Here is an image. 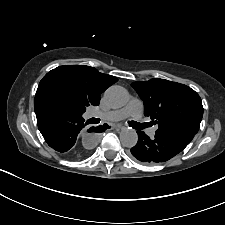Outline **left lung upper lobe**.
<instances>
[{
    "mask_svg": "<svg viewBox=\"0 0 225 225\" xmlns=\"http://www.w3.org/2000/svg\"><path fill=\"white\" fill-rule=\"evenodd\" d=\"M131 85L144 101L145 115L158 124L157 134L198 132L203 106L193 89L159 78Z\"/></svg>",
    "mask_w": 225,
    "mask_h": 225,
    "instance_id": "obj_1",
    "label": "left lung upper lobe"
}]
</instances>
